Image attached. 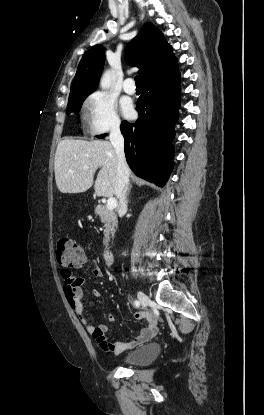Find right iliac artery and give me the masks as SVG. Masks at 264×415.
I'll list each match as a JSON object with an SVG mask.
<instances>
[{"mask_svg": "<svg viewBox=\"0 0 264 415\" xmlns=\"http://www.w3.org/2000/svg\"><path fill=\"white\" fill-rule=\"evenodd\" d=\"M134 304H135L136 307H139L140 306V302L137 301V300L134 302Z\"/></svg>", "mask_w": 264, "mask_h": 415, "instance_id": "82829eb1", "label": "right iliac artery"}]
</instances>
